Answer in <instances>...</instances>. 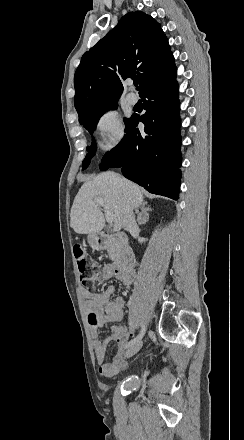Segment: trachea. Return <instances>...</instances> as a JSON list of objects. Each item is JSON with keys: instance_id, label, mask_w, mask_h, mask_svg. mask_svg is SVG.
<instances>
[{"instance_id": "3493384b", "label": "trachea", "mask_w": 244, "mask_h": 440, "mask_svg": "<svg viewBox=\"0 0 244 440\" xmlns=\"http://www.w3.org/2000/svg\"><path fill=\"white\" fill-rule=\"evenodd\" d=\"M133 83H134L135 87H137L139 84V80H134Z\"/></svg>"}]
</instances>
